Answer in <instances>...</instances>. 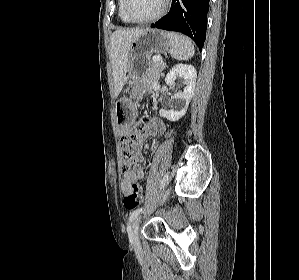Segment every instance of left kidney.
Segmentation results:
<instances>
[{"label": "left kidney", "instance_id": "left-kidney-1", "mask_svg": "<svg viewBox=\"0 0 299 280\" xmlns=\"http://www.w3.org/2000/svg\"><path fill=\"white\" fill-rule=\"evenodd\" d=\"M178 77L185 80L186 86L184 87V90L179 91L172 96L171 110L166 111L164 109H160L159 111V114L162 117L170 121H177L186 114L188 105L195 91L197 77L196 69L192 65L177 64L167 74L165 82L168 85H173Z\"/></svg>", "mask_w": 299, "mask_h": 280}]
</instances>
